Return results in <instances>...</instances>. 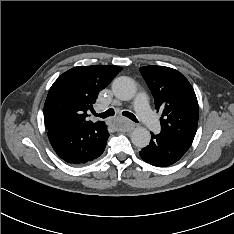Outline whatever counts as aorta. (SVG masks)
<instances>
[{
  "instance_id": "762f6f07",
  "label": "aorta",
  "mask_w": 234,
  "mask_h": 234,
  "mask_svg": "<svg viewBox=\"0 0 234 234\" xmlns=\"http://www.w3.org/2000/svg\"><path fill=\"white\" fill-rule=\"evenodd\" d=\"M112 91L118 99L128 101L135 96L136 86L131 78L121 76L113 81ZM131 141L136 147L144 148L150 142V133L144 127H136L131 133Z\"/></svg>"
}]
</instances>
